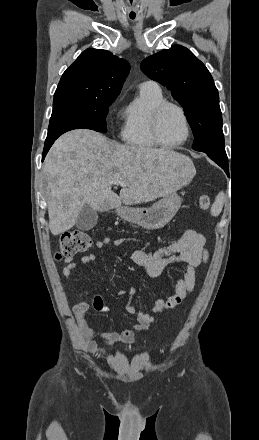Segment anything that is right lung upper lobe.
I'll return each instance as SVG.
<instances>
[{"label":"right lung upper lobe","instance_id":"1","mask_svg":"<svg viewBox=\"0 0 259 440\" xmlns=\"http://www.w3.org/2000/svg\"><path fill=\"white\" fill-rule=\"evenodd\" d=\"M129 70L125 59L107 50L88 48L63 73L54 96L116 98Z\"/></svg>","mask_w":259,"mask_h":440}]
</instances>
